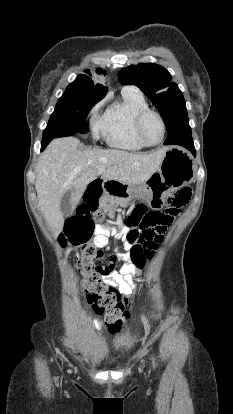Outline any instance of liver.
Instances as JSON below:
<instances>
[{"instance_id": "liver-1", "label": "liver", "mask_w": 233, "mask_h": 414, "mask_svg": "<svg viewBox=\"0 0 233 414\" xmlns=\"http://www.w3.org/2000/svg\"><path fill=\"white\" fill-rule=\"evenodd\" d=\"M79 146L80 140L75 137L54 139L37 163L38 205L56 235L64 226L61 202L67 193L70 192L73 213L87 185L99 174L105 180L126 185L145 183L159 169L168 150L131 153L120 149H80ZM99 168L103 169L102 173L98 172Z\"/></svg>"}]
</instances>
